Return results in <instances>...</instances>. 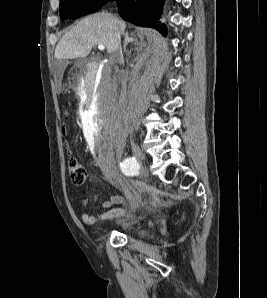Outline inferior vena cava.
<instances>
[{"label": "inferior vena cava", "mask_w": 267, "mask_h": 298, "mask_svg": "<svg viewBox=\"0 0 267 298\" xmlns=\"http://www.w3.org/2000/svg\"><path fill=\"white\" fill-rule=\"evenodd\" d=\"M118 39L120 41V35H118ZM122 50H121V46L119 45L118 48L116 49V51L114 52V56L113 58L114 59H122ZM120 106L121 108L123 109V113L125 115H128V112L126 109V87H122V90H121V95H120Z\"/></svg>", "instance_id": "1"}]
</instances>
